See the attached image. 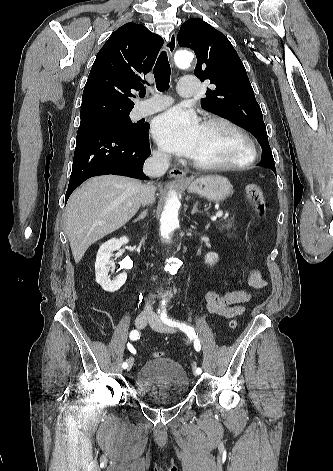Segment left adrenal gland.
I'll list each match as a JSON object with an SVG mask.
<instances>
[{"label":"left adrenal gland","mask_w":333,"mask_h":471,"mask_svg":"<svg viewBox=\"0 0 333 471\" xmlns=\"http://www.w3.org/2000/svg\"><path fill=\"white\" fill-rule=\"evenodd\" d=\"M198 206V201L195 202V204L193 205V209L191 211V214H195V213H200L201 211L198 210L197 208Z\"/></svg>","instance_id":"left-adrenal-gland-1"}]
</instances>
